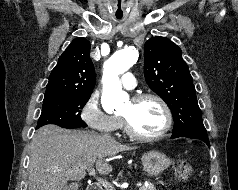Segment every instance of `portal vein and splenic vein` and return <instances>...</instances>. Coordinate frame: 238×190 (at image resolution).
<instances>
[{
  "mask_svg": "<svg viewBox=\"0 0 238 190\" xmlns=\"http://www.w3.org/2000/svg\"><path fill=\"white\" fill-rule=\"evenodd\" d=\"M88 173H89L90 176H95V174H96V173H95V169H93V168L88 169ZM98 181H99L104 187H109V188H112L113 190H115L109 182H107V181H105V180H103V179H98ZM136 186H137V187H141L142 184H141V183H137Z\"/></svg>",
  "mask_w": 238,
  "mask_h": 190,
  "instance_id": "obj_1",
  "label": "portal vein and splenic vein"
}]
</instances>
